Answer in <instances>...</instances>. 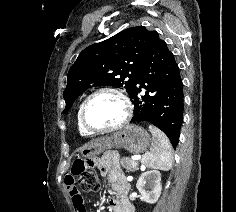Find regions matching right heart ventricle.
I'll return each instance as SVG.
<instances>
[{
    "label": "right heart ventricle",
    "instance_id": "1",
    "mask_svg": "<svg viewBox=\"0 0 236 212\" xmlns=\"http://www.w3.org/2000/svg\"><path fill=\"white\" fill-rule=\"evenodd\" d=\"M80 107L81 105H79L78 109H77V114H76V123H77V129L80 135L82 136H88L90 135L81 125L80 123V118H79V114H80Z\"/></svg>",
    "mask_w": 236,
    "mask_h": 212
}]
</instances>
